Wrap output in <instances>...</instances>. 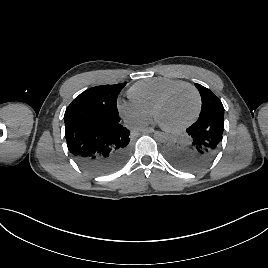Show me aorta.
<instances>
[{"mask_svg": "<svg viewBox=\"0 0 268 268\" xmlns=\"http://www.w3.org/2000/svg\"><path fill=\"white\" fill-rule=\"evenodd\" d=\"M155 138H156L158 141H163L164 139H166V133H165L163 130H158V131L155 133Z\"/></svg>", "mask_w": 268, "mask_h": 268, "instance_id": "1", "label": "aorta"}]
</instances>
